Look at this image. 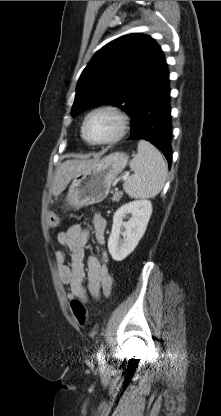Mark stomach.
I'll return each mask as SVG.
<instances>
[{
	"label": "stomach",
	"instance_id": "1",
	"mask_svg": "<svg viewBox=\"0 0 221 416\" xmlns=\"http://www.w3.org/2000/svg\"><path fill=\"white\" fill-rule=\"evenodd\" d=\"M128 158L124 152H114L79 172L68 187L66 205L81 208L103 201L112 182L126 167Z\"/></svg>",
	"mask_w": 221,
	"mask_h": 416
}]
</instances>
